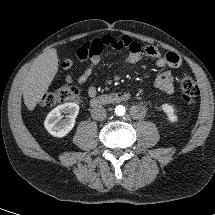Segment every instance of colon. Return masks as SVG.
<instances>
[{
	"mask_svg": "<svg viewBox=\"0 0 215 215\" xmlns=\"http://www.w3.org/2000/svg\"><path fill=\"white\" fill-rule=\"evenodd\" d=\"M62 67L66 70L72 67L71 60H65ZM182 99L186 104H193L199 96V88L191 76H185L181 81ZM79 99V91L75 87L63 86L47 92L41 99V105L52 107L62 103L75 102Z\"/></svg>",
	"mask_w": 215,
	"mask_h": 215,
	"instance_id": "obj_1",
	"label": "colon"
}]
</instances>
